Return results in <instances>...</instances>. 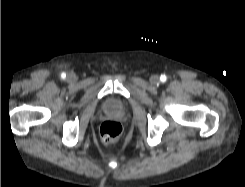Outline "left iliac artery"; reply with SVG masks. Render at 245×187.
Instances as JSON below:
<instances>
[{
  "label": "left iliac artery",
  "instance_id": "left-iliac-artery-1",
  "mask_svg": "<svg viewBox=\"0 0 245 187\" xmlns=\"http://www.w3.org/2000/svg\"><path fill=\"white\" fill-rule=\"evenodd\" d=\"M166 79H167V77H166L165 75H161L160 80H161L162 82H165Z\"/></svg>",
  "mask_w": 245,
  "mask_h": 187
}]
</instances>
